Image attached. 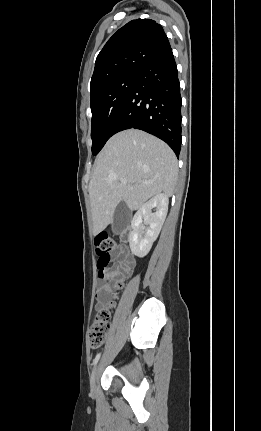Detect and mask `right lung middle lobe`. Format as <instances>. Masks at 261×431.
<instances>
[{
    "label": "right lung middle lobe",
    "instance_id": "dd1d6c3e",
    "mask_svg": "<svg viewBox=\"0 0 261 431\" xmlns=\"http://www.w3.org/2000/svg\"><path fill=\"white\" fill-rule=\"evenodd\" d=\"M137 75L120 76L91 92V138L94 156L113 135L114 125L133 89Z\"/></svg>",
    "mask_w": 261,
    "mask_h": 431
}]
</instances>
